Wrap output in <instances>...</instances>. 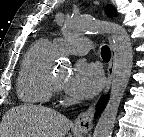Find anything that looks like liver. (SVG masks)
Instances as JSON below:
<instances>
[{"label": "liver", "mask_w": 144, "mask_h": 137, "mask_svg": "<svg viewBox=\"0 0 144 137\" xmlns=\"http://www.w3.org/2000/svg\"><path fill=\"white\" fill-rule=\"evenodd\" d=\"M72 122L61 113L24 104L8 110L0 124V137H65Z\"/></svg>", "instance_id": "1"}]
</instances>
